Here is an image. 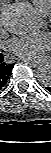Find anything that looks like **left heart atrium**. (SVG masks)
I'll return each instance as SVG.
<instances>
[{
    "instance_id": "39dd6f15",
    "label": "left heart atrium",
    "mask_w": 51,
    "mask_h": 153,
    "mask_svg": "<svg viewBox=\"0 0 51 153\" xmlns=\"http://www.w3.org/2000/svg\"><path fill=\"white\" fill-rule=\"evenodd\" d=\"M8 47L12 53L25 60H38L50 47V37L44 33L15 37L8 42Z\"/></svg>"
}]
</instances>
